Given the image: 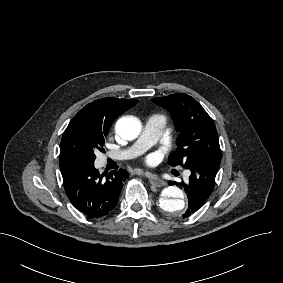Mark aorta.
<instances>
[{
    "label": "aorta",
    "instance_id": "1",
    "mask_svg": "<svg viewBox=\"0 0 283 283\" xmlns=\"http://www.w3.org/2000/svg\"><path fill=\"white\" fill-rule=\"evenodd\" d=\"M142 129L141 122L132 116L120 118L115 125L116 133L125 140H134ZM162 210L175 216H180L185 210L183 191L176 186H169L162 191L159 199Z\"/></svg>",
    "mask_w": 283,
    "mask_h": 283
}]
</instances>
